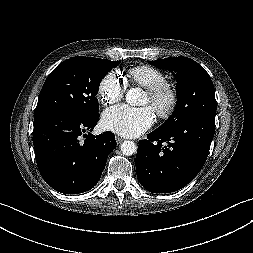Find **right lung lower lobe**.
I'll use <instances>...</instances> for the list:
<instances>
[{
    "label": "right lung lower lobe",
    "mask_w": 253,
    "mask_h": 253,
    "mask_svg": "<svg viewBox=\"0 0 253 253\" xmlns=\"http://www.w3.org/2000/svg\"><path fill=\"white\" fill-rule=\"evenodd\" d=\"M98 120L99 114L88 119L56 113L34 118L37 165L53 189L78 194L90 190L99 181L116 141L109 131L97 136L90 133Z\"/></svg>",
    "instance_id": "right-lung-lower-lobe-1"
}]
</instances>
